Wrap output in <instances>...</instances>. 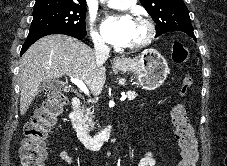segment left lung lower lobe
Listing matches in <instances>:
<instances>
[{"mask_svg":"<svg viewBox=\"0 0 227 166\" xmlns=\"http://www.w3.org/2000/svg\"><path fill=\"white\" fill-rule=\"evenodd\" d=\"M187 34L196 41V37L193 32H189Z\"/></svg>","mask_w":227,"mask_h":166,"instance_id":"left-lung-lower-lobe-1","label":"left lung lower lobe"}]
</instances>
